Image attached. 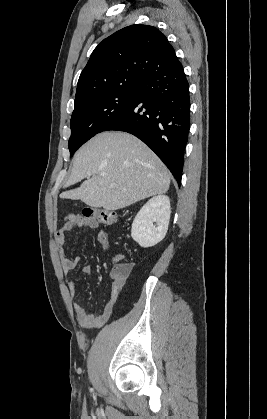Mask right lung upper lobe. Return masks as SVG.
<instances>
[{
	"label": "right lung upper lobe",
	"mask_w": 267,
	"mask_h": 419,
	"mask_svg": "<svg viewBox=\"0 0 267 419\" xmlns=\"http://www.w3.org/2000/svg\"><path fill=\"white\" fill-rule=\"evenodd\" d=\"M176 61L173 47L156 27H125L94 49L79 77L75 103L101 92L140 86Z\"/></svg>",
	"instance_id": "right-lung-upper-lobe-1"
}]
</instances>
